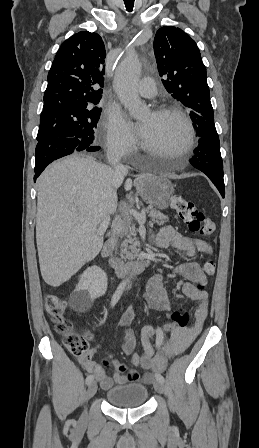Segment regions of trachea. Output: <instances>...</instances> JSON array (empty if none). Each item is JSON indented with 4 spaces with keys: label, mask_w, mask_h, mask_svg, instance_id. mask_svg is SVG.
<instances>
[{
    "label": "trachea",
    "mask_w": 259,
    "mask_h": 448,
    "mask_svg": "<svg viewBox=\"0 0 259 448\" xmlns=\"http://www.w3.org/2000/svg\"><path fill=\"white\" fill-rule=\"evenodd\" d=\"M126 9L128 11H131L133 9V5H134V0H124Z\"/></svg>",
    "instance_id": "3493384b"
}]
</instances>
